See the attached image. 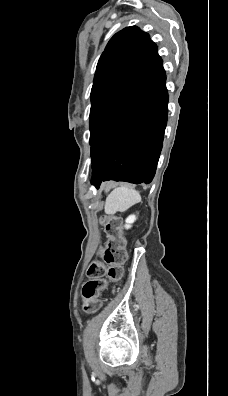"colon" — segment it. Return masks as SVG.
Instances as JSON below:
<instances>
[{"label": "colon", "mask_w": 228, "mask_h": 396, "mask_svg": "<svg viewBox=\"0 0 228 396\" xmlns=\"http://www.w3.org/2000/svg\"><path fill=\"white\" fill-rule=\"evenodd\" d=\"M102 225L108 235L105 248L101 251V261H94L87 270L89 280L83 285L82 300L84 310L96 312L101 307V292L106 280H118L127 255L122 245V225L116 216H103Z\"/></svg>", "instance_id": "colon-1"}]
</instances>
